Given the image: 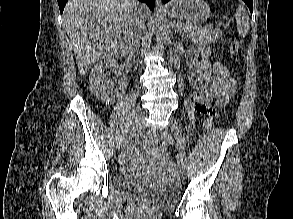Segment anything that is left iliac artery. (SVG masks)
I'll return each mask as SVG.
<instances>
[{"label": "left iliac artery", "mask_w": 293, "mask_h": 219, "mask_svg": "<svg viewBox=\"0 0 293 219\" xmlns=\"http://www.w3.org/2000/svg\"><path fill=\"white\" fill-rule=\"evenodd\" d=\"M183 144L185 145V139H184V137H183ZM184 154H185V151H184Z\"/></svg>", "instance_id": "obj_1"}]
</instances>
